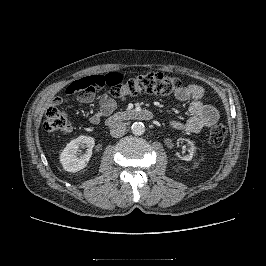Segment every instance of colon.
<instances>
[{
  "instance_id": "colon-1",
  "label": "colon",
  "mask_w": 266,
  "mask_h": 266,
  "mask_svg": "<svg viewBox=\"0 0 266 266\" xmlns=\"http://www.w3.org/2000/svg\"><path fill=\"white\" fill-rule=\"evenodd\" d=\"M100 87H108V92L116 98H125L142 92H152L160 95L176 93L181 83L178 78L161 72H147L124 79L118 72L85 76L71 82L66 89L67 94H84ZM44 127L48 132L67 133L70 123L67 115L52 106L45 114ZM227 137V128L221 123L215 124L209 133L212 146H221Z\"/></svg>"
}]
</instances>
